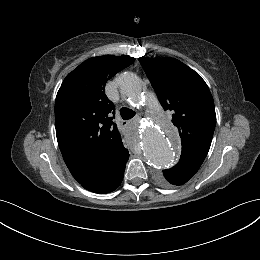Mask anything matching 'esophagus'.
Here are the masks:
<instances>
[{
    "mask_svg": "<svg viewBox=\"0 0 260 260\" xmlns=\"http://www.w3.org/2000/svg\"><path fill=\"white\" fill-rule=\"evenodd\" d=\"M121 124H122V125H126L125 121H122Z\"/></svg>",
    "mask_w": 260,
    "mask_h": 260,
    "instance_id": "obj_1",
    "label": "esophagus"
}]
</instances>
